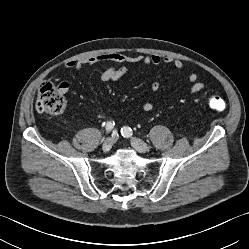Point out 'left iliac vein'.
Returning <instances> with one entry per match:
<instances>
[{
    "instance_id": "4c4485c4",
    "label": "left iliac vein",
    "mask_w": 249,
    "mask_h": 249,
    "mask_svg": "<svg viewBox=\"0 0 249 249\" xmlns=\"http://www.w3.org/2000/svg\"><path fill=\"white\" fill-rule=\"evenodd\" d=\"M132 147L140 153H145L148 151V145L138 138L131 139Z\"/></svg>"
}]
</instances>
